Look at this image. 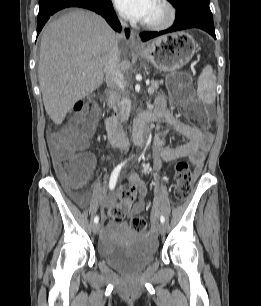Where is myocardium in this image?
<instances>
[{
    "label": "myocardium",
    "instance_id": "1",
    "mask_svg": "<svg viewBox=\"0 0 261 306\" xmlns=\"http://www.w3.org/2000/svg\"><path fill=\"white\" fill-rule=\"evenodd\" d=\"M161 7L163 15L160 19L155 21H143L142 26L148 30H164L173 25L176 20V9L169 0H155Z\"/></svg>",
    "mask_w": 261,
    "mask_h": 306
}]
</instances>
